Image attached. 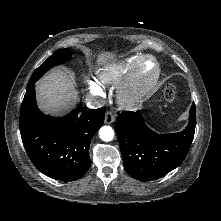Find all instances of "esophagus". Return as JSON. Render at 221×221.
I'll return each instance as SVG.
<instances>
[{
  "label": "esophagus",
  "mask_w": 221,
  "mask_h": 221,
  "mask_svg": "<svg viewBox=\"0 0 221 221\" xmlns=\"http://www.w3.org/2000/svg\"><path fill=\"white\" fill-rule=\"evenodd\" d=\"M105 123L106 124H111V123H113L114 121H115V115H114V113L112 112V111H107L106 113H105Z\"/></svg>",
  "instance_id": "1"
}]
</instances>
